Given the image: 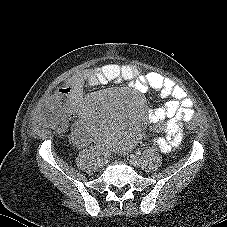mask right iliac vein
<instances>
[{
	"label": "right iliac vein",
	"mask_w": 227,
	"mask_h": 227,
	"mask_svg": "<svg viewBox=\"0 0 227 227\" xmlns=\"http://www.w3.org/2000/svg\"><path fill=\"white\" fill-rule=\"evenodd\" d=\"M96 163H97V165L99 166V167H103L104 165H105V159H103L102 157H100V158H97V161H96Z\"/></svg>",
	"instance_id": "63e3f726"
}]
</instances>
